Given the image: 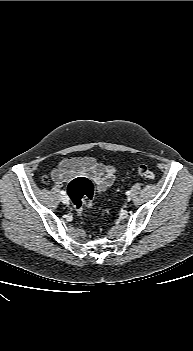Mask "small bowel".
Instances as JSON below:
<instances>
[{
  "mask_svg": "<svg viewBox=\"0 0 193 351\" xmlns=\"http://www.w3.org/2000/svg\"><path fill=\"white\" fill-rule=\"evenodd\" d=\"M76 176L89 178L96 184L97 190L102 192L116 180V170L91 157H74L63 160L59 167L52 171V178L58 186L69 182Z\"/></svg>",
  "mask_w": 193,
  "mask_h": 351,
  "instance_id": "1",
  "label": "small bowel"
}]
</instances>
